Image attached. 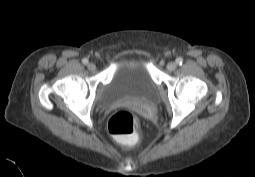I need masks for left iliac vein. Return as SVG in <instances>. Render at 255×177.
Returning a JSON list of instances; mask_svg holds the SVG:
<instances>
[{"instance_id":"1","label":"left iliac vein","mask_w":255,"mask_h":177,"mask_svg":"<svg viewBox=\"0 0 255 177\" xmlns=\"http://www.w3.org/2000/svg\"><path fill=\"white\" fill-rule=\"evenodd\" d=\"M176 67H177V64H176L175 62H169V63L167 64V69L170 70V71L175 70Z\"/></svg>"}]
</instances>
